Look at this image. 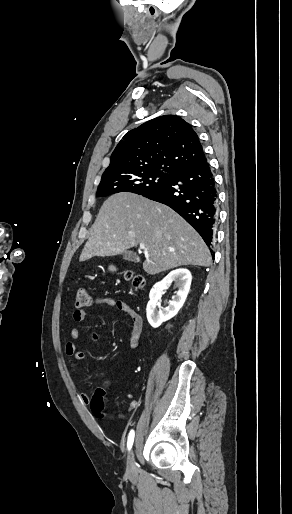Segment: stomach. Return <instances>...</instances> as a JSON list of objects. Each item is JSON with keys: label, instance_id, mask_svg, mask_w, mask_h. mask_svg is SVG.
I'll list each match as a JSON object with an SVG mask.
<instances>
[{"label": "stomach", "instance_id": "stomach-1", "mask_svg": "<svg viewBox=\"0 0 292 514\" xmlns=\"http://www.w3.org/2000/svg\"><path fill=\"white\" fill-rule=\"evenodd\" d=\"M109 270H110V272H115L116 268H115V266H109Z\"/></svg>", "mask_w": 292, "mask_h": 514}]
</instances>
